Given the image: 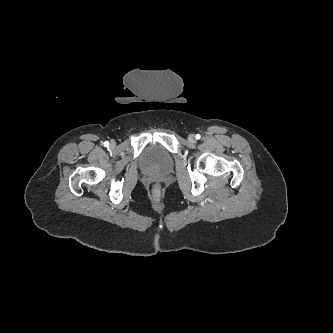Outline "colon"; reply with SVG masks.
Wrapping results in <instances>:
<instances>
[{
  "label": "colon",
  "instance_id": "colon-1",
  "mask_svg": "<svg viewBox=\"0 0 333 333\" xmlns=\"http://www.w3.org/2000/svg\"><path fill=\"white\" fill-rule=\"evenodd\" d=\"M154 191H156V192H160V186H159V185H155V186H154Z\"/></svg>",
  "mask_w": 333,
  "mask_h": 333
}]
</instances>
